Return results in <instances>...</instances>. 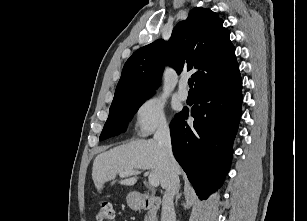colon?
Wrapping results in <instances>:
<instances>
[{
  "instance_id": "obj_1",
  "label": "colon",
  "mask_w": 307,
  "mask_h": 221,
  "mask_svg": "<svg viewBox=\"0 0 307 221\" xmlns=\"http://www.w3.org/2000/svg\"><path fill=\"white\" fill-rule=\"evenodd\" d=\"M114 218V211L112 204L109 202H103L97 212V221H112Z\"/></svg>"
}]
</instances>
